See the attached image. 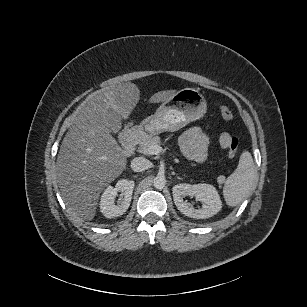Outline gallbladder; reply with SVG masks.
<instances>
[{
    "mask_svg": "<svg viewBox=\"0 0 307 307\" xmlns=\"http://www.w3.org/2000/svg\"><path fill=\"white\" fill-rule=\"evenodd\" d=\"M105 116L108 121L107 127L109 129L110 134H112L115 139H118L120 137L118 131L121 129L123 125L121 118L115 115L111 110L106 111Z\"/></svg>",
    "mask_w": 307,
    "mask_h": 307,
    "instance_id": "gallbladder-1",
    "label": "gallbladder"
}]
</instances>
